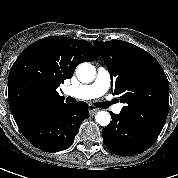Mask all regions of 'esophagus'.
Wrapping results in <instances>:
<instances>
[{"label":"esophagus","mask_w":178,"mask_h":178,"mask_svg":"<svg viewBox=\"0 0 178 178\" xmlns=\"http://www.w3.org/2000/svg\"><path fill=\"white\" fill-rule=\"evenodd\" d=\"M98 110H99V109H97V108H92V109H90V115H91V116H94V115L98 112Z\"/></svg>","instance_id":"1"}]
</instances>
